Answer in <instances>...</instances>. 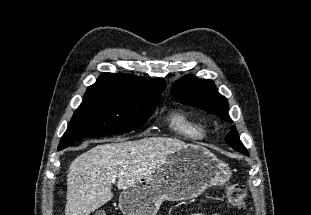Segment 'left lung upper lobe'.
<instances>
[{
    "label": "left lung upper lobe",
    "mask_w": 311,
    "mask_h": 215,
    "mask_svg": "<svg viewBox=\"0 0 311 215\" xmlns=\"http://www.w3.org/2000/svg\"><path fill=\"white\" fill-rule=\"evenodd\" d=\"M171 93L177 102L211 112L232 123L228 115V102L224 96L218 93L212 80L197 79L192 75H187L172 85ZM225 141L233 149L249 155L239 139L235 126H232Z\"/></svg>",
    "instance_id": "1"
}]
</instances>
